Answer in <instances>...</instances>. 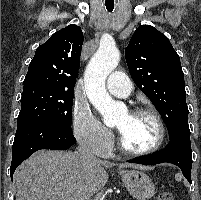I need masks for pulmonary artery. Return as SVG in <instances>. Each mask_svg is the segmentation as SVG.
I'll use <instances>...</instances> for the list:
<instances>
[{"instance_id": "e3ab8cb5", "label": "pulmonary artery", "mask_w": 201, "mask_h": 200, "mask_svg": "<svg viewBox=\"0 0 201 200\" xmlns=\"http://www.w3.org/2000/svg\"><path fill=\"white\" fill-rule=\"evenodd\" d=\"M106 86L108 91L117 97H128L132 92V83L122 72H113L109 75Z\"/></svg>"}]
</instances>
